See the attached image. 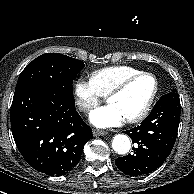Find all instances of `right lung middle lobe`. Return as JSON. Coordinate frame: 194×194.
<instances>
[{"mask_svg": "<svg viewBox=\"0 0 194 194\" xmlns=\"http://www.w3.org/2000/svg\"><path fill=\"white\" fill-rule=\"evenodd\" d=\"M85 64L58 53L42 54L34 59L20 74L16 91L27 88H43L61 96H73L74 77Z\"/></svg>", "mask_w": 194, "mask_h": 194, "instance_id": "1", "label": "right lung middle lobe"}]
</instances>
